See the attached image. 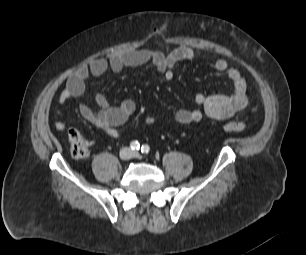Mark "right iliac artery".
Returning a JSON list of instances; mask_svg holds the SVG:
<instances>
[{"label": "right iliac artery", "mask_w": 306, "mask_h": 255, "mask_svg": "<svg viewBox=\"0 0 306 255\" xmlns=\"http://www.w3.org/2000/svg\"><path fill=\"white\" fill-rule=\"evenodd\" d=\"M130 148H131L133 151L139 150V148H140L139 142H138V141H132V142L130 143Z\"/></svg>", "instance_id": "1"}]
</instances>
